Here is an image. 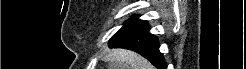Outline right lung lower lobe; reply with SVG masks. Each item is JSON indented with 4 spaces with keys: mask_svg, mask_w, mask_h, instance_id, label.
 Wrapping results in <instances>:
<instances>
[{
    "mask_svg": "<svg viewBox=\"0 0 246 69\" xmlns=\"http://www.w3.org/2000/svg\"><path fill=\"white\" fill-rule=\"evenodd\" d=\"M150 27L146 21H142L134 28L128 30L112 43L110 48H125L138 52L148 59L158 69H167L163 55L159 52V43L156 36L150 34Z\"/></svg>",
    "mask_w": 246,
    "mask_h": 69,
    "instance_id": "obj_1",
    "label": "right lung lower lobe"
}]
</instances>
